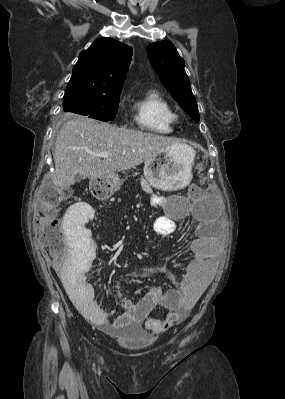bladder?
Returning <instances> with one entry per match:
<instances>
[{
    "mask_svg": "<svg viewBox=\"0 0 285 399\" xmlns=\"http://www.w3.org/2000/svg\"><path fill=\"white\" fill-rule=\"evenodd\" d=\"M116 340L132 351H141L147 348L149 337L137 332L131 336H119Z\"/></svg>",
    "mask_w": 285,
    "mask_h": 399,
    "instance_id": "obj_1",
    "label": "bladder"
}]
</instances>
